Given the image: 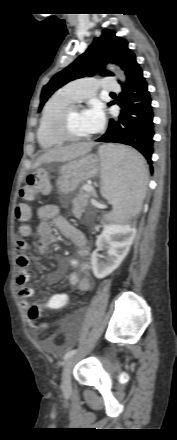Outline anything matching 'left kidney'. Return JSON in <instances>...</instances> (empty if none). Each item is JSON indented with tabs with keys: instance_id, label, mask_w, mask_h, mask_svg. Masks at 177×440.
<instances>
[{
	"instance_id": "1",
	"label": "left kidney",
	"mask_w": 177,
	"mask_h": 440,
	"mask_svg": "<svg viewBox=\"0 0 177 440\" xmlns=\"http://www.w3.org/2000/svg\"><path fill=\"white\" fill-rule=\"evenodd\" d=\"M135 237V228L129 225L108 224L96 240L97 249L91 255L92 270L96 278L102 279L119 267L129 252ZM108 250L105 261L98 260V251Z\"/></svg>"
}]
</instances>
